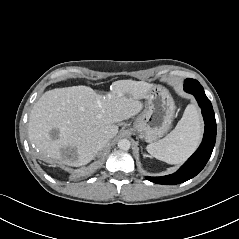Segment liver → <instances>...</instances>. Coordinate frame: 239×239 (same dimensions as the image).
I'll list each match as a JSON object with an SVG mask.
<instances>
[{
    "mask_svg": "<svg viewBox=\"0 0 239 239\" xmlns=\"http://www.w3.org/2000/svg\"><path fill=\"white\" fill-rule=\"evenodd\" d=\"M152 88L144 81L118 80L105 95L82 85L46 91L30 112L29 141L49 163L86 165L100 151L99 140L117 135L116 123L142 110L139 99L146 98ZM54 129L58 130L55 138L51 136ZM67 148L75 149V159L64 156Z\"/></svg>",
    "mask_w": 239,
    "mask_h": 239,
    "instance_id": "1",
    "label": "liver"
}]
</instances>
